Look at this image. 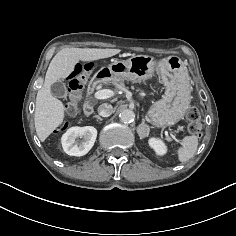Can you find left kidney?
<instances>
[{
  "mask_svg": "<svg viewBox=\"0 0 236 236\" xmlns=\"http://www.w3.org/2000/svg\"><path fill=\"white\" fill-rule=\"evenodd\" d=\"M149 146L154 149L157 155H164L167 151L165 144L157 138H150Z\"/></svg>",
  "mask_w": 236,
  "mask_h": 236,
  "instance_id": "1",
  "label": "left kidney"
}]
</instances>
